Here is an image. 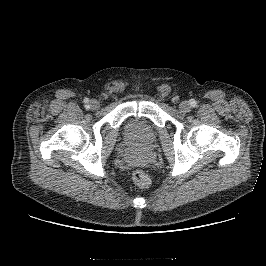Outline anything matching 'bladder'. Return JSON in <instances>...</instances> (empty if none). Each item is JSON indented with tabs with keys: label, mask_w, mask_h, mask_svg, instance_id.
<instances>
[{
	"label": "bladder",
	"mask_w": 266,
	"mask_h": 266,
	"mask_svg": "<svg viewBox=\"0 0 266 266\" xmlns=\"http://www.w3.org/2000/svg\"><path fill=\"white\" fill-rule=\"evenodd\" d=\"M124 137L132 145L149 148L156 141V131L153 125L143 118H132L125 122Z\"/></svg>",
	"instance_id": "31cf9c89"
}]
</instances>
